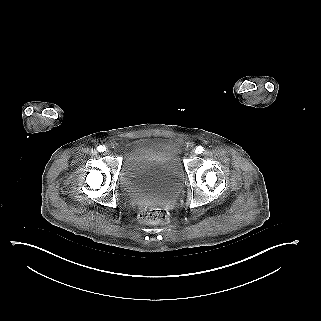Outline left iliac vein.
<instances>
[{
  "label": "left iliac vein",
  "instance_id": "obj_1",
  "mask_svg": "<svg viewBox=\"0 0 321 321\" xmlns=\"http://www.w3.org/2000/svg\"><path fill=\"white\" fill-rule=\"evenodd\" d=\"M196 156L195 152H191L190 157L194 158Z\"/></svg>",
  "mask_w": 321,
  "mask_h": 321
}]
</instances>
